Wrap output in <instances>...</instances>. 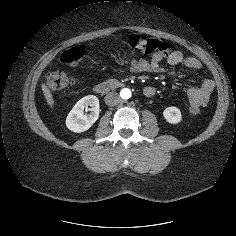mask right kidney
Wrapping results in <instances>:
<instances>
[{
  "label": "right kidney",
  "instance_id": "right-kidney-1",
  "mask_svg": "<svg viewBox=\"0 0 236 236\" xmlns=\"http://www.w3.org/2000/svg\"><path fill=\"white\" fill-rule=\"evenodd\" d=\"M88 106L91 108L88 109ZM84 110H89L85 114ZM99 100L94 95H88L80 99L72 108L66 118V127L75 132L81 133L88 130L99 117Z\"/></svg>",
  "mask_w": 236,
  "mask_h": 236
}]
</instances>
